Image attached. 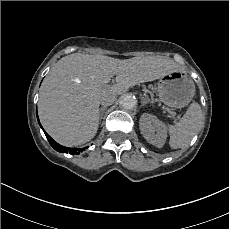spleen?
I'll use <instances>...</instances> for the list:
<instances>
[{
  "label": "spleen",
  "mask_w": 229,
  "mask_h": 229,
  "mask_svg": "<svg viewBox=\"0 0 229 229\" xmlns=\"http://www.w3.org/2000/svg\"><path fill=\"white\" fill-rule=\"evenodd\" d=\"M203 123L204 117L200 105L192 103L181 120L168 127L170 147L173 149L187 147Z\"/></svg>",
  "instance_id": "3e777b00"
}]
</instances>
